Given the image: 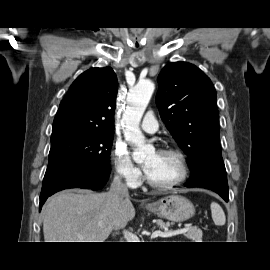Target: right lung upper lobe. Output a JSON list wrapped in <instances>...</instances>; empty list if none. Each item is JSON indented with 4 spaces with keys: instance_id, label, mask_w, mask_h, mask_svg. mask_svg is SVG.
Wrapping results in <instances>:
<instances>
[{
    "instance_id": "obj_1",
    "label": "right lung upper lobe",
    "mask_w": 270,
    "mask_h": 270,
    "mask_svg": "<svg viewBox=\"0 0 270 270\" xmlns=\"http://www.w3.org/2000/svg\"><path fill=\"white\" fill-rule=\"evenodd\" d=\"M118 81L111 67L91 68L70 86L60 103L53 128L114 130Z\"/></svg>"
}]
</instances>
